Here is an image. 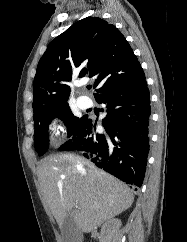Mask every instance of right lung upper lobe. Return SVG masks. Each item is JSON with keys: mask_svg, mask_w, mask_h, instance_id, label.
Returning <instances> with one entry per match:
<instances>
[{"mask_svg": "<svg viewBox=\"0 0 187 242\" xmlns=\"http://www.w3.org/2000/svg\"><path fill=\"white\" fill-rule=\"evenodd\" d=\"M95 80V99L145 77L121 32L98 17H86L52 40L34 79V115L64 106L73 78Z\"/></svg>", "mask_w": 187, "mask_h": 242, "instance_id": "obj_1", "label": "right lung upper lobe"}]
</instances>
